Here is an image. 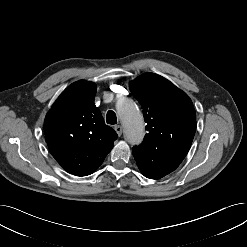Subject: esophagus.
I'll return each mask as SVG.
<instances>
[{"label": "esophagus", "mask_w": 247, "mask_h": 247, "mask_svg": "<svg viewBox=\"0 0 247 247\" xmlns=\"http://www.w3.org/2000/svg\"><path fill=\"white\" fill-rule=\"evenodd\" d=\"M114 130L116 131V133L118 134V136H121L122 135V126L116 125V126H114Z\"/></svg>", "instance_id": "obj_1"}]
</instances>
